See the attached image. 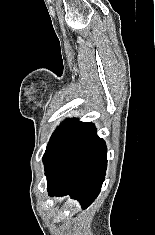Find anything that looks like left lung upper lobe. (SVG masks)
I'll list each match as a JSON object with an SVG mask.
<instances>
[{
  "instance_id": "obj_1",
  "label": "left lung upper lobe",
  "mask_w": 155,
  "mask_h": 235,
  "mask_svg": "<svg viewBox=\"0 0 155 235\" xmlns=\"http://www.w3.org/2000/svg\"><path fill=\"white\" fill-rule=\"evenodd\" d=\"M81 124L82 122H79L77 119H70L64 121L62 125L55 130L44 153V163L49 155L59 146V144Z\"/></svg>"
}]
</instances>
